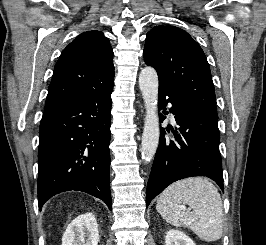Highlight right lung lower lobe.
Segmentation results:
<instances>
[{
  "mask_svg": "<svg viewBox=\"0 0 266 245\" xmlns=\"http://www.w3.org/2000/svg\"><path fill=\"white\" fill-rule=\"evenodd\" d=\"M111 88L81 93L44 112L39 130V210L52 196L83 191L111 209Z\"/></svg>",
  "mask_w": 266,
  "mask_h": 245,
  "instance_id": "obj_1",
  "label": "right lung lower lobe"
}]
</instances>
